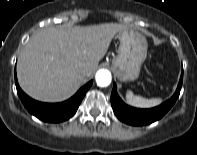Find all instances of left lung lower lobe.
<instances>
[{
  "mask_svg": "<svg viewBox=\"0 0 197 155\" xmlns=\"http://www.w3.org/2000/svg\"><path fill=\"white\" fill-rule=\"evenodd\" d=\"M183 71L174 95L161 105L150 109H138L126 105L119 97L114 84L111 93V105L116 116L124 123L134 126L151 124L162 118L176 102L182 87Z\"/></svg>",
  "mask_w": 197,
  "mask_h": 155,
  "instance_id": "left-lung-lower-lobe-1",
  "label": "left lung lower lobe"
}]
</instances>
